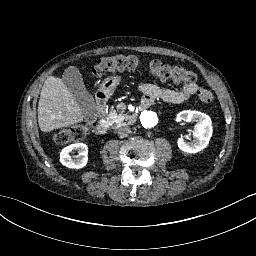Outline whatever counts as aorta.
<instances>
[{"instance_id":"aorta-1","label":"aorta","mask_w":256,"mask_h":256,"mask_svg":"<svg viewBox=\"0 0 256 256\" xmlns=\"http://www.w3.org/2000/svg\"><path fill=\"white\" fill-rule=\"evenodd\" d=\"M141 120L144 126L150 128L156 125L158 119L155 113L149 111L143 114Z\"/></svg>"}]
</instances>
